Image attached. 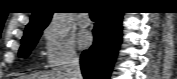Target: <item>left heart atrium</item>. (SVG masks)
<instances>
[{"label": "left heart atrium", "instance_id": "left-heart-atrium-1", "mask_svg": "<svg viewBox=\"0 0 177 79\" xmlns=\"http://www.w3.org/2000/svg\"><path fill=\"white\" fill-rule=\"evenodd\" d=\"M78 43L81 48H87L92 43V36L88 31H82L78 36Z\"/></svg>", "mask_w": 177, "mask_h": 79}]
</instances>
